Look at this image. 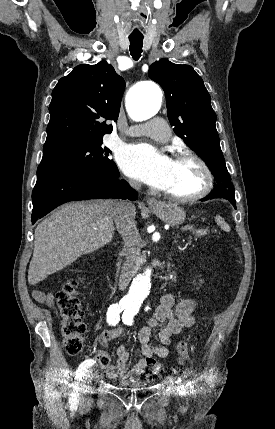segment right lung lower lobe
Returning a JSON list of instances; mask_svg holds the SVG:
<instances>
[{"instance_id":"98d812e1","label":"right lung lower lobe","mask_w":275,"mask_h":429,"mask_svg":"<svg viewBox=\"0 0 275 429\" xmlns=\"http://www.w3.org/2000/svg\"><path fill=\"white\" fill-rule=\"evenodd\" d=\"M95 198L136 200L137 192L130 188L126 181L119 180V172L115 174L84 172L59 175L35 185L32 193L31 221L34 224L63 203Z\"/></svg>"}]
</instances>
